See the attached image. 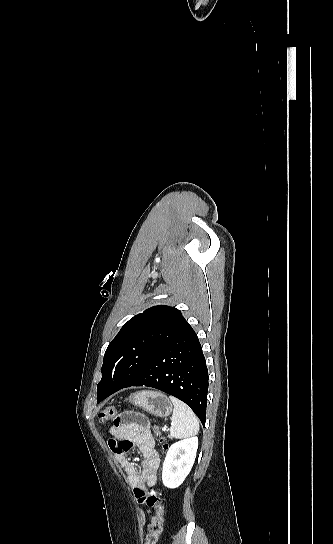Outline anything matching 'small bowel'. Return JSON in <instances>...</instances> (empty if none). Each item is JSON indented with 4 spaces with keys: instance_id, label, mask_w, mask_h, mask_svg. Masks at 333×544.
I'll use <instances>...</instances> for the list:
<instances>
[{
    "instance_id": "c3829d8e",
    "label": "small bowel",
    "mask_w": 333,
    "mask_h": 544,
    "mask_svg": "<svg viewBox=\"0 0 333 544\" xmlns=\"http://www.w3.org/2000/svg\"><path fill=\"white\" fill-rule=\"evenodd\" d=\"M108 431L110 450L124 470L127 482L138 502L143 503L147 496V488L157 484V470L161 463L160 453L155 447L148 421L140 414L125 412L113 420ZM134 447H137L142 455L140 468L127 457V452Z\"/></svg>"
}]
</instances>
